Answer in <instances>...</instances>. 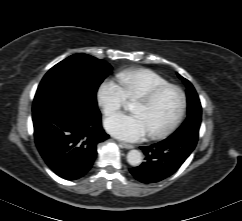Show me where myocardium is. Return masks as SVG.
<instances>
[{
	"label": "myocardium",
	"mask_w": 242,
	"mask_h": 221,
	"mask_svg": "<svg viewBox=\"0 0 242 221\" xmlns=\"http://www.w3.org/2000/svg\"><path fill=\"white\" fill-rule=\"evenodd\" d=\"M167 90H174L178 93L179 99H180L179 109H178V112H177L176 116L174 117V119L165 128L155 131V132L148 133V136L151 139L163 138V137L171 134L177 128V126L182 121V119L185 115V112H186V108H187L186 94H185L184 90L181 87H179L178 85L167 83V84L154 88L147 94L136 99V101H139V102H142L145 104H151Z\"/></svg>",
	"instance_id": "1"
}]
</instances>
